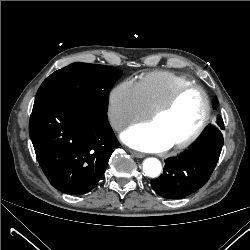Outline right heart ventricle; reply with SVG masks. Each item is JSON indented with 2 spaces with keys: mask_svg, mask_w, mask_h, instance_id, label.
Returning a JSON list of instances; mask_svg holds the SVG:
<instances>
[{
  "mask_svg": "<svg viewBox=\"0 0 250 250\" xmlns=\"http://www.w3.org/2000/svg\"><path fill=\"white\" fill-rule=\"evenodd\" d=\"M188 84H193V81L169 71L147 73L136 83L142 100L150 112L164 104L177 89Z\"/></svg>",
  "mask_w": 250,
  "mask_h": 250,
  "instance_id": "right-heart-ventricle-1",
  "label": "right heart ventricle"
}]
</instances>
